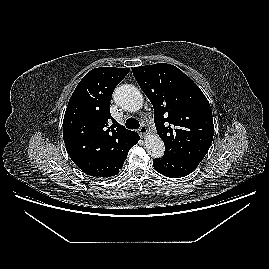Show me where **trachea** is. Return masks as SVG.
<instances>
[{"mask_svg": "<svg viewBox=\"0 0 269 269\" xmlns=\"http://www.w3.org/2000/svg\"><path fill=\"white\" fill-rule=\"evenodd\" d=\"M125 125L128 129H138L140 127L139 121L132 117L126 120Z\"/></svg>", "mask_w": 269, "mask_h": 269, "instance_id": "obj_1", "label": "trachea"}]
</instances>
